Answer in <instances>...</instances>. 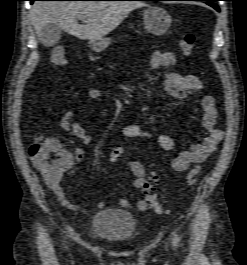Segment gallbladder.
I'll return each instance as SVG.
<instances>
[{
  "mask_svg": "<svg viewBox=\"0 0 247 265\" xmlns=\"http://www.w3.org/2000/svg\"><path fill=\"white\" fill-rule=\"evenodd\" d=\"M62 35V29L55 24H46L39 34V41L45 47H52L58 43Z\"/></svg>",
  "mask_w": 247,
  "mask_h": 265,
  "instance_id": "obj_1",
  "label": "gallbladder"
}]
</instances>
